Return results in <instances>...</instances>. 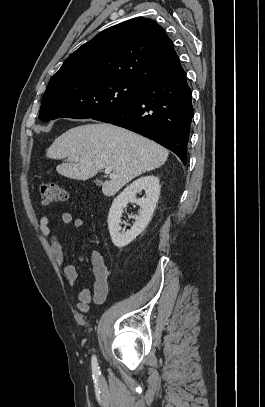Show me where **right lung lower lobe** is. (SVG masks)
<instances>
[{"label":"right lung lower lobe","instance_id":"98d812e1","mask_svg":"<svg viewBox=\"0 0 265 407\" xmlns=\"http://www.w3.org/2000/svg\"><path fill=\"white\" fill-rule=\"evenodd\" d=\"M191 94L178 60L171 73L145 86L135 102L92 119L148 137L173 151L186 164L194 116Z\"/></svg>","mask_w":265,"mask_h":407}]
</instances>
